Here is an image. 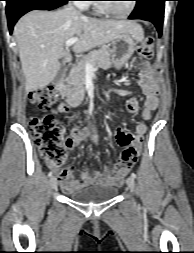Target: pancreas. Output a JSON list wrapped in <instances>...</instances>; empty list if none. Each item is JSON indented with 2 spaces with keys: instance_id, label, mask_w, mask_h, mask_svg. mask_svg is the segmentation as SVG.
<instances>
[{
  "instance_id": "pancreas-1",
  "label": "pancreas",
  "mask_w": 194,
  "mask_h": 253,
  "mask_svg": "<svg viewBox=\"0 0 194 253\" xmlns=\"http://www.w3.org/2000/svg\"><path fill=\"white\" fill-rule=\"evenodd\" d=\"M110 55L111 50L104 47L98 51L90 52L73 67L65 80L66 84L62 86L63 95L67 98V102L75 103L84 98L86 64L90 63L95 68L108 69L111 67Z\"/></svg>"
}]
</instances>
